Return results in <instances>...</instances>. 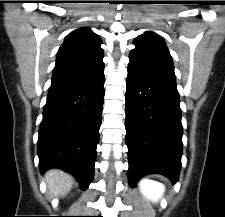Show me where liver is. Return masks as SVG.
<instances>
[{
    "instance_id": "obj_1",
    "label": "liver",
    "mask_w": 225,
    "mask_h": 217,
    "mask_svg": "<svg viewBox=\"0 0 225 217\" xmlns=\"http://www.w3.org/2000/svg\"><path fill=\"white\" fill-rule=\"evenodd\" d=\"M44 179L50 193L54 197L65 196L73 185V177L59 169H51L47 171Z\"/></svg>"
}]
</instances>
